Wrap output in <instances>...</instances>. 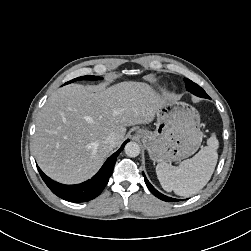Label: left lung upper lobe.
Segmentation results:
<instances>
[{"mask_svg": "<svg viewBox=\"0 0 251 251\" xmlns=\"http://www.w3.org/2000/svg\"><path fill=\"white\" fill-rule=\"evenodd\" d=\"M184 81L186 84L187 91L191 92L192 94L198 97L210 99V97L206 94V92L199 85H197L196 83L192 82L189 79H184Z\"/></svg>", "mask_w": 251, "mask_h": 251, "instance_id": "5c2ea615", "label": "left lung upper lobe"}]
</instances>
